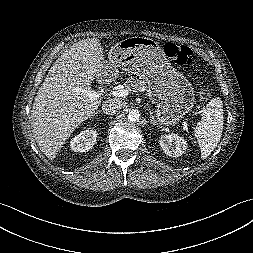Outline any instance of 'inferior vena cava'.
Returning <instances> with one entry per match:
<instances>
[{
    "mask_svg": "<svg viewBox=\"0 0 253 253\" xmlns=\"http://www.w3.org/2000/svg\"><path fill=\"white\" fill-rule=\"evenodd\" d=\"M122 108V102L117 99H109L102 105V111L107 115H114Z\"/></svg>",
    "mask_w": 253,
    "mask_h": 253,
    "instance_id": "inferior-vena-cava-1",
    "label": "inferior vena cava"
}]
</instances>
